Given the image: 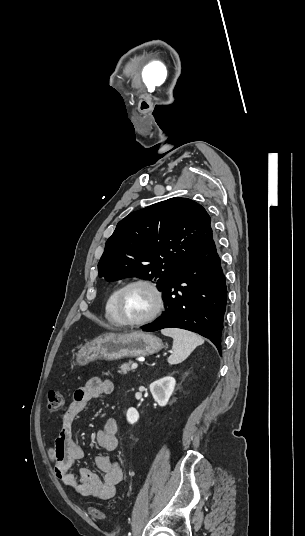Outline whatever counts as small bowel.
Masks as SVG:
<instances>
[{
    "instance_id": "small-bowel-1",
    "label": "small bowel",
    "mask_w": 305,
    "mask_h": 536,
    "mask_svg": "<svg viewBox=\"0 0 305 536\" xmlns=\"http://www.w3.org/2000/svg\"><path fill=\"white\" fill-rule=\"evenodd\" d=\"M112 391V382L98 377L89 379L78 388L73 401L62 416L58 435L48 450L56 477L79 495L96 500H109L115 496L117 486L123 479V471L118 462L104 454L97 456L95 460L97 468L103 473L102 478L88 469L80 470L78 475L74 474L71 469L75 462L83 457L84 452L74 436L73 428L76 418L91 400L108 395ZM117 430L116 419L110 417L96 433V443L103 451L111 453L117 448Z\"/></svg>"
}]
</instances>
